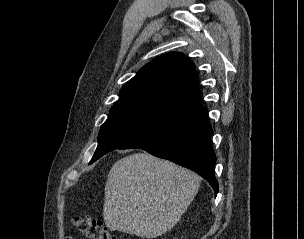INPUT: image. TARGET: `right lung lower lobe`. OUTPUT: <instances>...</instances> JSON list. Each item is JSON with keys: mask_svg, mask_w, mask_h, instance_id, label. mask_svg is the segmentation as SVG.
<instances>
[{"mask_svg": "<svg viewBox=\"0 0 304 239\" xmlns=\"http://www.w3.org/2000/svg\"><path fill=\"white\" fill-rule=\"evenodd\" d=\"M208 110L200 107L135 138L117 149L140 148L150 154L191 169L206 179L215 195L216 156L211 143Z\"/></svg>", "mask_w": 304, "mask_h": 239, "instance_id": "right-lung-lower-lobe-1", "label": "right lung lower lobe"}]
</instances>
